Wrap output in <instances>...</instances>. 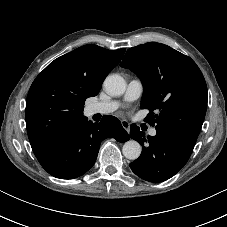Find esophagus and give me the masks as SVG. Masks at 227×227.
I'll return each instance as SVG.
<instances>
[{"instance_id":"34e87169","label":"esophagus","mask_w":227,"mask_h":227,"mask_svg":"<svg viewBox=\"0 0 227 227\" xmlns=\"http://www.w3.org/2000/svg\"><path fill=\"white\" fill-rule=\"evenodd\" d=\"M122 127L129 133L130 131V124L126 120L121 121Z\"/></svg>"}]
</instances>
